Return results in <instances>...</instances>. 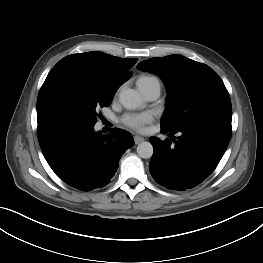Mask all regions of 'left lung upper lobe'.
Here are the masks:
<instances>
[{"label": "left lung upper lobe", "instance_id": "obj_1", "mask_svg": "<svg viewBox=\"0 0 263 263\" xmlns=\"http://www.w3.org/2000/svg\"><path fill=\"white\" fill-rule=\"evenodd\" d=\"M137 68L155 73L165 82L168 95L163 129L176 130L207 118L231 123L229 93L209 66L175 54L142 61Z\"/></svg>", "mask_w": 263, "mask_h": 263}]
</instances>
